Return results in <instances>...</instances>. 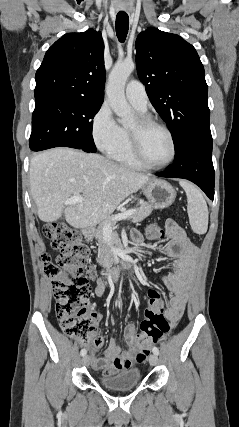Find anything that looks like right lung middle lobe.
I'll return each mask as SVG.
<instances>
[{
  "label": "right lung middle lobe",
  "mask_w": 239,
  "mask_h": 427,
  "mask_svg": "<svg viewBox=\"0 0 239 427\" xmlns=\"http://www.w3.org/2000/svg\"><path fill=\"white\" fill-rule=\"evenodd\" d=\"M101 105L74 99L35 100L30 149L40 151L65 146L96 152L92 119Z\"/></svg>",
  "instance_id": "obj_1"
}]
</instances>
